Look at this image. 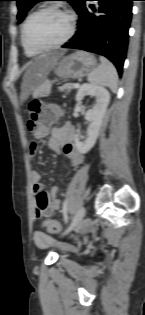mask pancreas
<instances>
[{
  "label": "pancreas",
  "mask_w": 145,
  "mask_h": 315,
  "mask_svg": "<svg viewBox=\"0 0 145 315\" xmlns=\"http://www.w3.org/2000/svg\"><path fill=\"white\" fill-rule=\"evenodd\" d=\"M73 83H65L64 85L58 87V90L61 91V92H64V91H71V89L73 88Z\"/></svg>",
  "instance_id": "cf45deb5"
}]
</instances>
